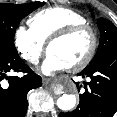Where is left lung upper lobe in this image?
<instances>
[{"instance_id": "left-lung-upper-lobe-1", "label": "left lung upper lobe", "mask_w": 117, "mask_h": 117, "mask_svg": "<svg viewBox=\"0 0 117 117\" xmlns=\"http://www.w3.org/2000/svg\"><path fill=\"white\" fill-rule=\"evenodd\" d=\"M92 15L94 16V14ZM97 26L101 32L99 47L96 55L86 68L94 66L112 51L117 50V28L114 24L105 18H99Z\"/></svg>"}]
</instances>
